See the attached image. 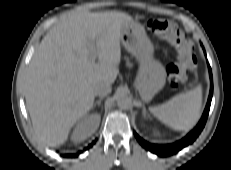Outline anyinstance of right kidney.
Wrapping results in <instances>:
<instances>
[{
    "instance_id": "right-kidney-1",
    "label": "right kidney",
    "mask_w": 231,
    "mask_h": 170,
    "mask_svg": "<svg viewBox=\"0 0 231 170\" xmlns=\"http://www.w3.org/2000/svg\"><path fill=\"white\" fill-rule=\"evenodd\" d=\"M100 116L92 114L85 116L78 121L72 133L71 140L73 142H80L87 139L99 126Z\"/></svg>"
}]
</instances>
